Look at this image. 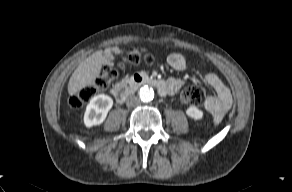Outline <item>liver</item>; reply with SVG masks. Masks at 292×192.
<instances>
[{"label":"liver","instance_id":"liver-1","mask_svg":"<svg viewBox=\"0 0 292 192\" xmlns=\"http://www.w3.org/2000/svg\"><path fill=\"white\" fill-rule=\"evenodd\" d=\"M103 64V52L97 51L82 61L71 75L68 83L69 95L87 87L97 78Z\"/></svg>","mask_w":292,"mask_h":192}]
</instances>
